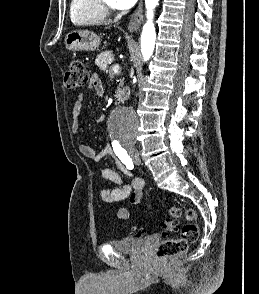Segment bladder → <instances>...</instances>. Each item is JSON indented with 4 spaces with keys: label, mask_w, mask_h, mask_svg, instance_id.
<instances>
[{
    "label": "bladder",
    "mask_w": 259,
    "mask_h": 294,
    "mask_svg": "<svg viewBox=\"0 0 259 294\" xmlns=\"http://www.w3.org/2000/svg\"><path fill=\"white\" fill-rule=\"evenodd\" d=\"M157 240H159V235L152 234L142 237H124L109 241L108 244L119 252L137 253Z\"/></svg>",
    "instance_id": "31cf9c89"
}]
</instances>
